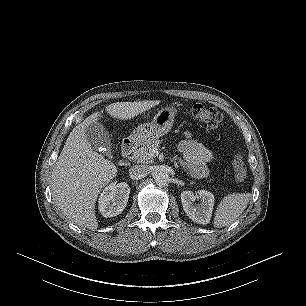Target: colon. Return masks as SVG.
<instances>
[{
  "label": "colon",
  "instance_id": "colon-1",
  "mask_svg": "<svg viewBox=\"0 0 306 306\" xmlns=\"http://www.w3.org/2000/svg\"><path fill=\"white\" fill-rule=\"evenodd\" d=\"M194 118L208 129L217 128L222 121V114L219 110L203 104H195L192 108ZM234 177L236 182L241 183L247 175V168L244 154L238 151L233 161Z\"/></svg>",
  "mask_w": 306,
  "mask_h": 306
}]
</instances>
